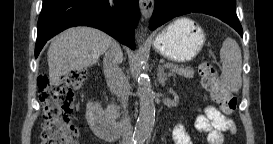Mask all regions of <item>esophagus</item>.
Here are the masks:
<instances>
[{
  "label": "esophagus",
  "instance_id": "obj_1",
  "mask_svg": "<svg viewBox=\"0 0 273 144\" xmlns=\"http://www.w3.org/2000/svg\"><path fill=\"white\" fill-rule=\"evenodd\" d=\"M139 7H140L142 16L145 19H149L154 9V0H140Z\"/></svg>",
  "mask_w": 273,
  "mask_h": 144
}]
</instances>
